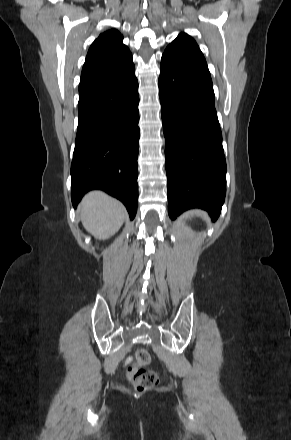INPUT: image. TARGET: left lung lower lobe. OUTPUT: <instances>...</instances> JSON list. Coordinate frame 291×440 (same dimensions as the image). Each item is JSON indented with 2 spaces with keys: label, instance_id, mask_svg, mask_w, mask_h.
I'll list each match as a JSON object with an SVG mask.
<instances>
[{
  "label": "left lung lower lobe",
  "instance_id": "1",
  "mask_svg": "<svg viewBox=\"0 0 291 440\" xmlns=\"http://www.w3.org/2000/svg\"><path fill=\"white\" fill-rule=\"evenodd\" d=\"M159 95L169 216L199 207L215 221L226 194V161L207 65L163 55Z\"/></svg>",
  "mask_w": 291,
  "mask_h": 440
}]
</instances>
